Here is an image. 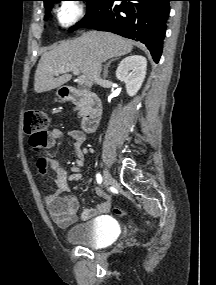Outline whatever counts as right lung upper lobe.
Instances as JSON below:
<instances>
[{
  "label": "right lung upper lobe",
  "instance_id": "1",
  "mask_svg": "<svg viewBox=\"0 0 216 285\" xmlns=\"http://www.w3.org/2000/svg\"><path fill=\"white\" fill-rule=\"evenodd\" d=\"M42 1H44V3H46V2H48V1H50V0H42Z\"/></svg>",
  "mask_w": 216,
  "mask_h": 285
}]
</instances>
